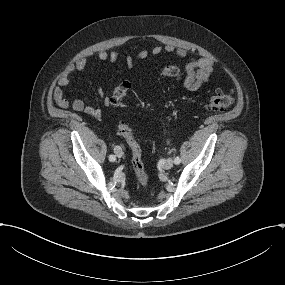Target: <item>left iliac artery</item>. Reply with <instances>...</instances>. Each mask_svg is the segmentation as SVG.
Listing matches in <instances>:
<instances>
[{"instance_id":"left-iliac-artery-1","label":"left iliac artery","mask_w":285,"mask_h":285,"mask_svg":"<svg viewBox=\"0 0 285 285\" xmlns=\"http://www.w3.org/2000/svg\"><path fill=\"white\" fill-rule=\"evenodd\" d=\"M180 162H181V159H180L179 157H176V158L174 159V163H175L176 165H178Z\"/></svg>"}]
</instances>
